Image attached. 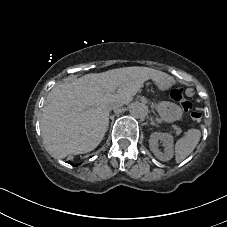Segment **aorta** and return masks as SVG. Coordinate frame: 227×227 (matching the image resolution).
Here are the masks:
<instances>
[{
	"label": "aorta",
	"mask_w": 227,
	"mask_h": 227,
	"mask_svg": "<svg viewBox=\"0 0 227 227\" xmlns=\"http://www.w3.org/2000/svg\"><path fill=\"white\" fill-rule=\"evenodd\" d=\"M129 112L134 118L143 119L148 114V107L144 103L134 102L130 105Z\"/></svg>",
	"instance_id": "aorta-1"
}]
</instances>
